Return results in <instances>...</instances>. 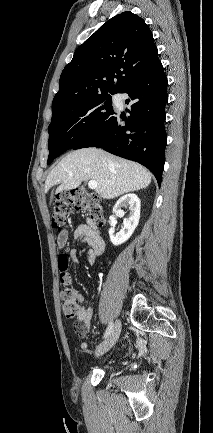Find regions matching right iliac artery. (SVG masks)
<instances>
[{"mask_svg": "<svg viewBox=\"0 0 213 433\" xmlns=\"http://www.w3.org/2000/svg\"><path fill=\"white\" fill-rule=\"evenodd\" d=\"M113 326H114L113 322H110L107 329H106V332L104 334V338H107L110 335V333L112 332Z\"/></svg>", "mask_w": 213, "mask_h": 433, "instance_id": "82829eb1", "label": "right iliac artery"}]
</instances>
